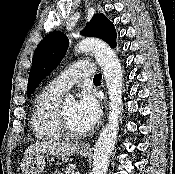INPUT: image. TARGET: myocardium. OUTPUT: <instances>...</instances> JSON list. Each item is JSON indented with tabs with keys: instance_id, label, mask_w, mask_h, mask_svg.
Returning a JSON list of instances; mask_svg holds the SVG:
<instances>
[{
	"instance_id": "f54148a6",
	"label": "myocardium",
	"mask_w": 175,
	"mask_h": 174,
	"mask_svg": "<svg viewBox=\"0 0 175 174\" xmlns=\"http://www.w3.org/2000/svg\"><path fill=\"white\" fill-rule=\"evenodd\" d=\"M57 122L60 131L67 138H81L87 134V131L77 132L70 128L63 110V105H60L57 111Z\"/></svg>"
}]
</instances>
